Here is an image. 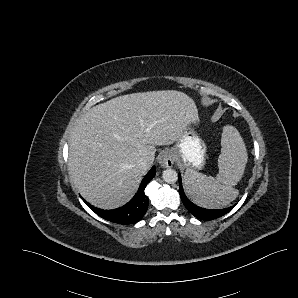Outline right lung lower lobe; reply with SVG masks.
<instances>
[{"label": "right lung lower lobe", "mask_w": 298, "mask_h": 298, "mask_svg": "<svg viewBox=\"0 0 298 298\" xmlns=\"http://www.w3.org/2000/svg\"><path fill=\"white\" fill-rule=\"evenodd\" d=\"M155 166L146 174L143 178L140 187L135 196L123 207L114 210H102L93 207L87 203L83 198V201L91 208L98 216L105 220L119 223V224H132L142 219L148 209L149 199L144 193V189L147 183L155 176Z\"/></svg>", "instance_id": "obj_1"}]
</instances>
